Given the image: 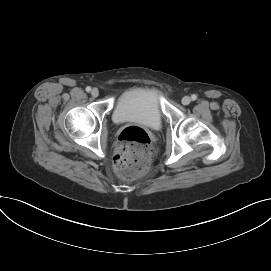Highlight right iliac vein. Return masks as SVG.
Instances as JSON below:
<instances>
[{"mask_svg": "<svg viewBox=\"0 0 271 271\" xmlns=\"http://www.w3.org/2000/svg\"><path fill=\"white\" fill-rule=\"evenodd\" d=\"M91 95L93 97H97L99 95V91L97 88H93L92 91H91Z\"/></svg>", "mask_w": 271, "mask_h": 271, "instance_id": "right-iliac-vein-1", "label": "right iliac vein"}]
</instances>
